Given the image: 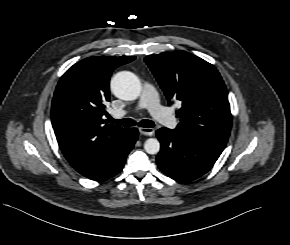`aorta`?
Listing matches in <instances>:
<instances>
[{
  "mask_svg": "<svg viewBox=\"0 0 290 245\" xmlns=\"http://www.w3.org/2000/svg\"><path fill=\"white\" fill-rule=\"evenodd\" d=\"M111 90L122 100H135L140 96L141 83L135 74L122 71L112 78ZM144 149L148 154H157L160 151V142L156 138H149L144 143Z\"/></svg>",
  "mask_w": 290,
  "mask_h": 245,
  "instance_id": "1",
  "label": "aorta"
}]
</instances>
